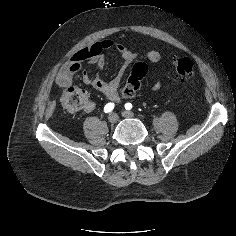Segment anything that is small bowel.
<instances>
[{"label":"small bowel","mask_w":236,"mask_h":236,"mask_svg":"<svg viewBox=\"0 0 236 236\" xmlns=\"http://www.w3.org/2000/svg\"><path fill=\"white\" fill-rule=\"evenodd\" d=\"M113 48L120 54L123 63L116 76L112 80L106 82L100 78L99 73L105 65V53ZM135 56V53L124 44H115L111 40L95 42L73 54L60 69L56 81L60 86L71 84L75 74L78 73L82 69L83 64L87 62L95 69V73L90 75L84 71L82 74L83 83L102 93L109 101L118 102L121 98H129L136 93V91L125 92L123 89L120 91L123 77ZM146 56L153 63H159L161 61V54L156 49L149 50L146 53ZM160 86L161 82L160 80H157L153 83L152 89L158 90ZM95 108V104L89 101L84 106L83 110L86 113H91Z\"/></svg>","instance_id":"1"}]
</instances>
